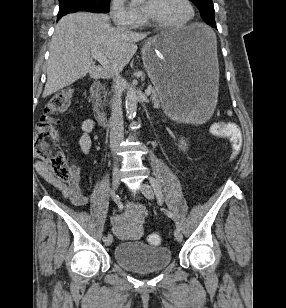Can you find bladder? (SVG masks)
Returning a JSON list of instances; mask_svg holds the SVG:
<instances>
[{"instance_id": "bladder-1", "label": "bladder", "mask_w": 286, "mask_h": 308, "mask_svg": "<svg viewBox=\"0 0 286 308\" xmlns=\"http://www.w3.org/2000/svg\"><path fill=\"white\" fill-rule=\"evenodd\" d=\"M113 259L126 270L148 273L167 267L172 253L165 246H148L141 241L121 242L113 249Z\"/></svg>"}]
</instances>
